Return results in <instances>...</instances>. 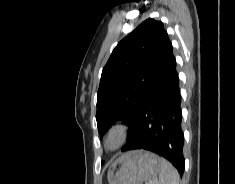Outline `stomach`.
<instances>
[{"mask_svg": "<svg viewBox=\"0 0 235 184\" xmlns=\"http://www.w3.org/2000/svg\"><path fill=\"white\" fill-rule=\"evenodd\" d=\"M160 158L146 150H132L111 164L108 184H143L154 180L160 172Z\"/></svg>", "mask_w": 235, "mask_h": 184, "instance_id": "1", "label": "stomach"}]
</instances>
